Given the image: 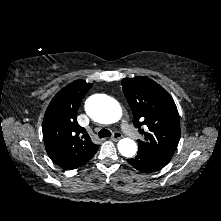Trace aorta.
<instances>
[{"mask_svg":"<svg viewBox=\"0 0 221 221\" xmlns=\"http://www.w3.org/2000/svg\"><path fill=\"white\" fill-rule=\"evenodd\" d=\"M86 113L95 121L102 124H112L122 115L119 103L105 95H93L85 104ZM118 150L124 157H133L137 152V144L130 138L118 142Z\"/></svg>","mask_w":221,"mask_h":221,"instance_id":"762f6f07","label":"aorta"}]
</instances>
